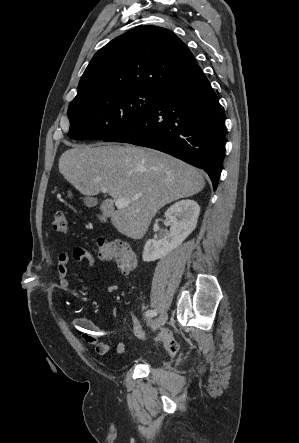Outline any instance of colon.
Masks as SVG:
<instances>
[{"instance_id":"obj_1","label":"colon","mask_w":299,"mask_h":443,"mask_svg":"<svg viewBox=\"0 0 299 443\" xmlns=\"http://www.w3.org/2000/svg\"><path fill=\"white\" fill-rule=\"evenodd\" d=\"M53 229L61 234L68 232L69 226L65 213L57 212L54 215ZM97 246L99 258L113 261L122 273L129 274L136 269L137 257L128 243L101 238L98 240ZM157 339L164 343L171 354L175 355L179 352L180 343L169 331L162 330L157 335Z\"/></svg>"}]
</instances>
